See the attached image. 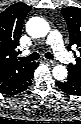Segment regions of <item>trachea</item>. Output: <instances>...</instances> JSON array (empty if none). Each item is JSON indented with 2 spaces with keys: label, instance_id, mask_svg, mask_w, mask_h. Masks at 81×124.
I'll list each match as a JSON object with an SVG mask.
<instances>
[{
  "label": "trachea",
  "instance_id": "trachea-1",
  "mask_svg": "<svg viewBox=\"0 0 81 124\" xmlns=\"http://www.w3.org/2000/svg\"><path fill=\"white\" fill-rule=\"evenodd\" d=\"M39 53L34 52L32 54H30L27 57H23L21 58V60H25V61H35L39 58ZM45 58L49 59V60H53V55L50 52L45 53Z\"/></svg>",
  "mask_w": 81,
  "mask_h": 124
}]
</instances>
